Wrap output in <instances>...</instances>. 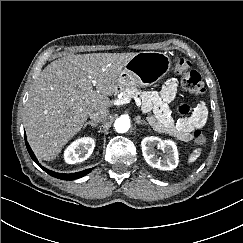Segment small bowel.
<instances>
[{
	"label": "small bowel",
	"mask_w": 243,
	"mask_h": 243,
	"mask_svg": "<svg viewBox=\"0 0 243 243\" xmlns=\"http://www.w3.org/2000/svg\"><path fill=\"white\" fill-rule=\"evenodd\" d=\"M177 92V81L168 80L160 92H150L145 96V105L154 111L151 123L156 130L171 135L181 141L192 140V131L201 128L207 118V107L198 103L187 118L174 120L168 107Z\"/></svg>",
	"instance_id": "1"
}]
</instances>
